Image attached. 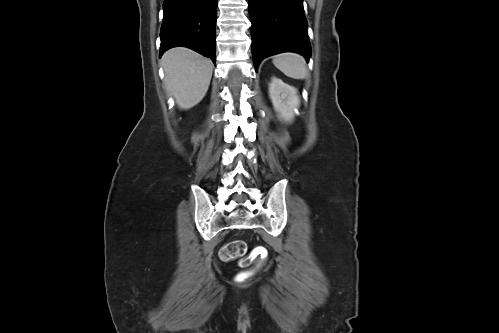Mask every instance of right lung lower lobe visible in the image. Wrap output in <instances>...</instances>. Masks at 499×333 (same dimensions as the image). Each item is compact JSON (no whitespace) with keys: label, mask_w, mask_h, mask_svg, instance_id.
Returning <instances> with one entry per match:
<instances>
[{"label":"right lung lower lobe","mask_w":499,"mask_h":333,"mask_svg":"<svg viewBox=\"0 0 499 333\" xmlns=\"http://www.w3.org/2000/svg\"><path fill=\"white\" fill-rule=\"evenodd\" d=\"M163 8L160 56L184 46L215 63L217 0H164Z\"/></svg>","instance_id":"right-lung-lower-lobe-1"}]
</instances>
